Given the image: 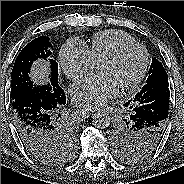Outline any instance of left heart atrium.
<instances>
[{
	"instance_id": "left-heart-atrium-1",
	"label": "left heart atrium",
	"mask_w": 184,
	"mask_h": 184,
	"mask_svg": "<svg viewBox=\"0 0 184 184\" xmlns=\"http://www.w3.org/2000/svg\"><path fill=\"white\" fill-rule=\"evenodd\" d=\"M118 90L119 85L111 76L99 73L77 81L71 87V94L75 104L96 109L116 96Z\"/></svg>"
}]
</instances>
